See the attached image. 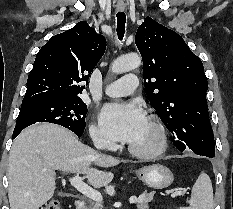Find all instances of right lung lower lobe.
I'll list each match as a JSON object with an SVG mask.
<instances>
[{"label": "right lung lower lobe", "instance_id": "obj_1", "mask_svg": "<svg viewBox=\"0 0 233 209\" xmlns=\"http://www.w3.org/2000/svg\"><path fill=\"white\" fill-rule=\"evenodd\" d=\"M22 130H17L13 132V138H16L17 135L21 132ZM78 137H80L82 135V133H76L74 132Z\"/></svg>", "mask_w": 233, "mask_h": 209}]
</instances>
